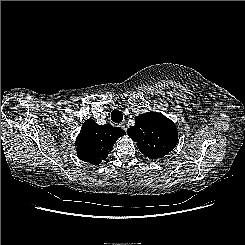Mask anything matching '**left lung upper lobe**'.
Listing matches in <instances>:
<instances>
[{"instance_id": "5c2ea615", "label": "left lung upper lobe", "mask_w": 245, "mask_h": 245, "mask_svg": "<svg viewBox=\"0 0 245 245\" xmlns=\"http://www.w3.org/2000/svg\"><path fill=\"white\" fill-rule=\"evenodd\" d=\"M127 134L136 142L140 152L150 159L162 158L171 152L178 141L175 124L158 112L135 117V125Z\"/></svg>"}]
</instances>
